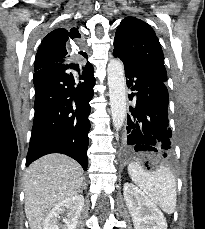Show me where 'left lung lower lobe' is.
Segmentation results:
<instances>
[{"instance_id":"obj_1","label":"left lung lower lobe","mask_w":205,"mask_h":229,"mask_svg":"<svg viewBox=\"0 0 205 229\" xmlns=\"http://www.w3.org/2000/svg\"><path fill=\"white\" fill-rule=\"evenodd\" d=\"M119 57L125 68L127 86L137 93L129 95L136 101L127 114V137L124 153L132 155L135 151L157 152L161 158L172 156V132L168 120V90L166 83L139 68L127 64Z\"/></svg>"}]
</instances>
